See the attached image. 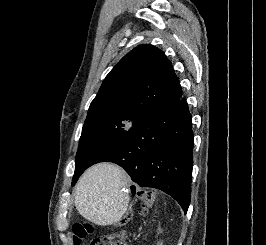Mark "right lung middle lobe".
Here are the masks:
<instances>
[{
  "label": "right lung middle lobe",
  "instance_id": "right-lung-middle-lobe-1",
  "mask_svg": "<svg viewBox=\"0 0 266 245\" xmlns=\"http://www.w3.org/2000/svg\"><path fill=\"white\" fill-rule=\"evenodd\" d=\"M141 118L112 111L87 116L76 155L72 185L98 155L119 141Z\"/></svg>",
  "mask_w": 266,
  "mask_h": 245
}]
</instances>
